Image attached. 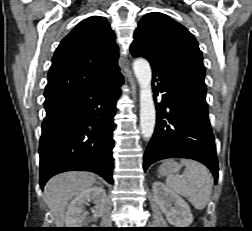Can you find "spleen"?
Instances as JSON below:
<instances>
[{
  "label": "spleen",
  "mask_w": 252,
  "mask_h": 231,
  "mask_svg": "<svg viewBox=\"0 0 252 231\" xmlns=\"http://www.w3.org/2000/svg\"><path fill=\"white\" fill-rule=\"evenodd\" d=\"M186 166L183 178L169 175L167 186L176 194L185 197L197 210H202L210 201L212 177L209 170L197 161L181 159Z\"/></svg>",
  "instance_id": "spleen-1"
}]
</instances>
